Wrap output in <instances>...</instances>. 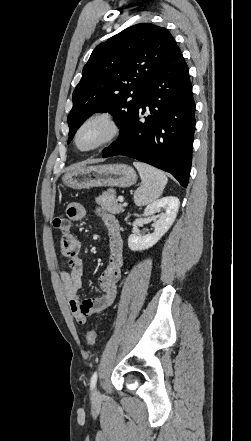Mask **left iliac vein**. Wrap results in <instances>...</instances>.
<instances>
[{
    "instance_id": "left-iliac-vein-1",
    "label": "left iliac vein",
    "mask_w": 251,
    "mask_h": 441,
    "mask_svg": "<svg viewBox=\"0 0 251 441\" xmlns=\"http://www.w3.org/2000/svg\"><path fill=\"white\" fill-rule=\"evenodd\" d=\"M93 394H94V396H96V397H97V396H99V394H100V393H99V391H98V390L96 389V390L94 391V393H93Z\"/></svg>"
}]
</instances>
